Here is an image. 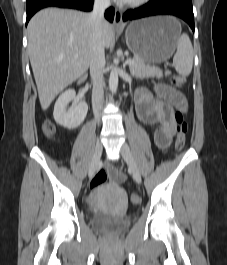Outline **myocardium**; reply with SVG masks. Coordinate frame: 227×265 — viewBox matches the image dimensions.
I'll list each match as a JSON object with an SVG mask.
<instances>
[{"label": "myocardium", "instance_id": "1", "mask_svg": "<svg viewBox=\"0 0 227 265\" xmlns=\"http://www.w3.org/2000/svg\"><path fill=\"white\" fill-rule=\"evenodd\" d=\"M149 0H129L126 2H123V4L127 7L135 8L140 7L144 4H146Z\"/></svg>", "mask_w": 227, "mask_h": 265}]
</instances>
